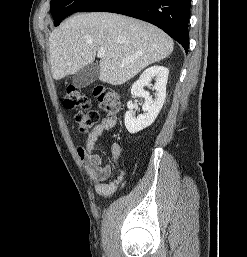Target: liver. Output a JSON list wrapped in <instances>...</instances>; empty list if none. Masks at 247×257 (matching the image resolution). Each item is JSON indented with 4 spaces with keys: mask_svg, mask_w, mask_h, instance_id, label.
<instances>
[{
    "mask_svg": "<svg viewBox=\"0 0 247 257\" xmlns=\"http://www.w3.org/2000/svg\"><path fill=\"white\" fill-rule=\"evenodd\" d=\"M173 40L158 27L115 13L76 14L49 37L52 76L61 80L95 60L98 50L99 79L121 85L148 65L168 57Z\"/></svg>",
    "mask_w": 247,
    "mask_h": 257,
    "instance_id": "1",
    "label": "liver"
}]
</instances>
